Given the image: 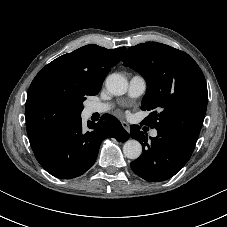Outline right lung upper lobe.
<instances>
[{
  "label": "right lung upper lobe",
  "instance_id": "1",
  "mask_svg": "<svg viewBox=\"0 0 227 227\" xmlns=\"http://www.w3.org/2000/svg\"><path fill=\"white\" fill-rule=\"evenodd\" d=\"M126 48L106 49L86 45L47 64L28 91L25 118L33 151L80 117L88 95H96L108 72Z\"/></svg>",
  "mask_w": 227,
  "mask_h": 227
}]
</instances>
